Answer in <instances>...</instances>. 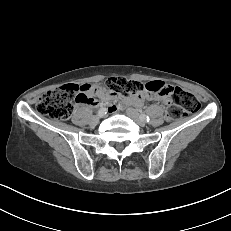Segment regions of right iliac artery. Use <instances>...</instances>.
<instances>
[{"label":"right iliac artery","mask_w":231,"mask_h":231,"mask_svg":"<svg viewBox=\"0 0 231 231\" xmlns=\"http://www.w3.org/2000/svg\"><path fill=\"white\" fill-rule=\"evenodd\" d=\"M105 113L106 114V108H100V110L98 111V114H103Z\"/></svg>","instance_id":"right-iliac-artery-1"}]
</instances>
